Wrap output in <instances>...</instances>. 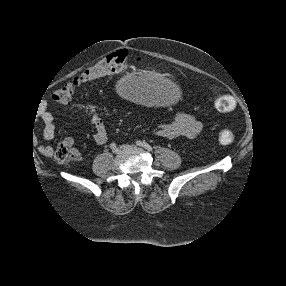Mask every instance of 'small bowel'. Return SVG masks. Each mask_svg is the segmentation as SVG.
Returning a JSON list of instances; mask_svg holds the SVG:
<instances>
[{
    "label": "small bowel",
    "instance_id": "1",
    "mask_svg": "<svg viewBox=\"0 0 286 286\" xmlns=\"http://www.w3.org/2000/svg\"><path fill=\"white\" fill-rule=\"evenodd\" d=\"M41 118L45 124L43 137L46 140H50L55 135V118L49 110L43 111ZM90 123L93 128V139L95 143L98 145L105 144L108 140V133L104 120L97 113H93L90 117ZM202 130L203 125L201 121L194 115L184 111H177L171 121L159 124L155 129V133L159 137L166 139L179 137L191 139L197 137ZM63 144L71 150L72 159L74 161L81 160L79 149L75 146V141L73 138L66 137L63 140ZM39 150L44 155H50L51 153V148L49 146H41Z\"/></svg>",
    "mask_w": 286,
    "mask_h": 286
}]
</instances>
